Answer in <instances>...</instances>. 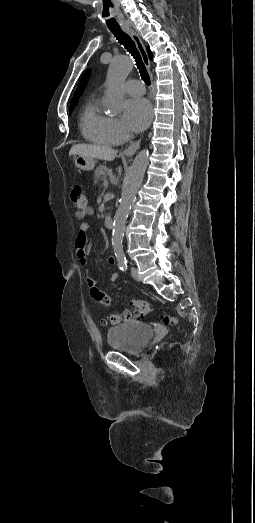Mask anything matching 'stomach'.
Returning a JSON list of instances; mask_svg holds the SVG:
<instances>
[{
	"label": "stomach",
	"mask_w": 255,
	"mask_h": 523,
	"mask_svg": "<svg viewBox=\"0 0 255 523\" xmlns=\"http://www.w3.org/2000/svg\"><path fill=\"white\" fill-rule=\"evenodd\" d=\"M76 168H79V170H93L95 166L94 160L92 158H83V156H79V158H75L74 160Z\"/></svg>",
	"instance_id": "obj_1"
}]
</instances>
